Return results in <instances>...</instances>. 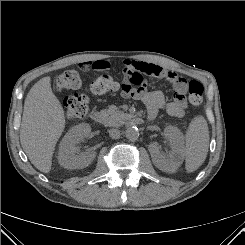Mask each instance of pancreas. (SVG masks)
Wrapping results in <instances>:
<instances>
[{
	"label": "pancreas",
	"mask_w": 245,
	"mask_h": 245,
	"mask_svg": "<svg viewBox=\"0 0 245 245\" xmlns=\"http://www.w3.org/2000/svg\"><path fill=\"white\" fill-rule=\"evenodd\" d=\"M103 123L106 126H119L126 119L127 114L118 107L111 105L108 109L102 110Z\"/></svg>",
	"instance_id": "cf45deb5"
}]
</instances>
